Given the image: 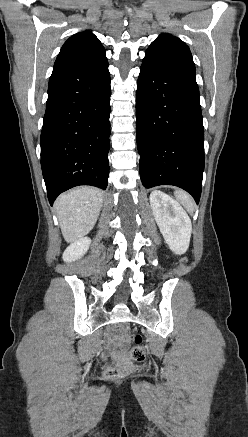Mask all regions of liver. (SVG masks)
I'll return each mask as SVG.
<instances>
[{"label":"liver","mask_w":248,"mask_h":437,"mask_svg":"<svg viewBox=\"0 0 248 437\" xmlns=\"http://www.w3.org/2000/svg\"><path fill=\"white\" fill-rule=\"evenodd\" d=\"M102 204L103 192L88 186L59 196L55 209L64 240L71 243L87 235L97 222Z\"/></svg>","instance_id":"6515ba94"}]
</instances>
